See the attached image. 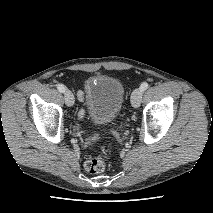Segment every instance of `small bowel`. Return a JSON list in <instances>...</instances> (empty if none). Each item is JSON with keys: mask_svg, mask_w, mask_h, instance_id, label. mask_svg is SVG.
<instances>
[{"mask_svg": "<svg viewBox=\"0 0 213 213\" xmlns=\"http://www.w3.org/2000/svg\"><path fill=\"white\" fill-rule=\"evenodd\" d=\"M78 98H79L80 100H83V98H84V93H83V91H79V92H78ZM79 117H80L81 119H83V118L85 117V111H84V110H81V111H80Z\"/></svg>", "mask_w": 213, "mask_h": 213, "instance_id": "1", "label": "small bowel"}]
</instances>
